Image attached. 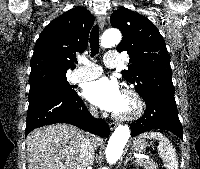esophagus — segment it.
<instances>
[{
	"label": "esophagus",
	"instance_id": "esophagus-1",
	"mask_svg": "<svg viewBox=\"0 0 200 169\" xmlns=\"http://www.w3.org/2000/svg\"><path fill=\"white\" fill-rule=\"evenodd\" d=\"M98 25H99L100 29L103 30L104 25H105V17L103 15L98 17ZM116 126H117V123H115V122H112L109 124V127L111 130H114L116 128Z\"/></svg>",
	"mask_w": 200,
	"mask_h": 169
}]
</instances>
